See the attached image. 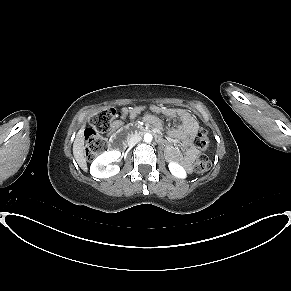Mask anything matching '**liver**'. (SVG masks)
Returning a JSON list of instances; mask_svg holds the SVG:
<instances>
[{"label":"liver","instance_id":"obj_1","mask_svg":"<svg viewBox=\"0 0 291 291\" xmlns=\"http://www.w3.org/2000/svg\"><path fill=\"white\" fill-rule=\"evenodd\" d=\"M84 127L83 126L77 133L76 138L73 143V155L74 158L79 165V167L83 171H87V162L84 157Z\"/></svg>","mask_w":291,"mask_h":291}]
</instances>
